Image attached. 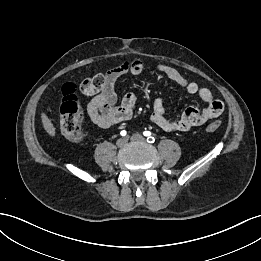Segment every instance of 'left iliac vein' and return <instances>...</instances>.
Listing matches in <instances>:
<instances>
[{
	"instance_id": "obj_1",
	"label": "left iliac vein",
	"mask_w": 261,
	"mask_h": 261,
	"mask_svg": "<svg viewBox=\"0 0 261 261\" xmlns=\"http://www.w3.org/2000/svg\"><path fill=\"white\" fill-rule=\"evenodd\" d=\"M130 140L134 142H144L146 139L141 134L136 133L130 137Z\"/></svg>"
}]
</instances>
